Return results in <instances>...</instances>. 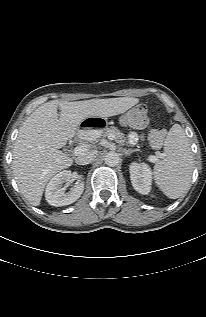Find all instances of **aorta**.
<instances>
[{
	"label": "aorta",
	"instance_id": "1",
	"mask_svg": "<svg viewBox=\"0 0 206 317\" xmlns=\"http://www.w3.org/2000/svg\"><path fill=\"white\" fill-rule=\"evenodd\" d=\"M104 161H105V164L110 166V167H114L116 165L119 164L120 162V156L118 153L114 152V151H111V152H108L105 157H104Z\"/></svg>",
	"mask_w": 206,
	"mask_h": 317
}]
</instances>
